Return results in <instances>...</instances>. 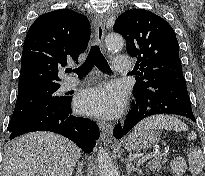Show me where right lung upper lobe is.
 <instances>
[{
    "label": "right lung upper lobe",
    "mask_w": 205,
    "mask_h": 176,
    "mask_svg": "<svg viewBox=\"0 0 205 176\" xmlns=\"http://www.w3.org/2000/svg\"><path fill=\"white\" fill-rule=\"evenodd\" d=\"M88 19L72 10L60 9L41 15L25 38L18 97L60 86L58 69L77 60L89 41Z\"/></svg>",
    "instance_id": "1"
}]
</instances>
